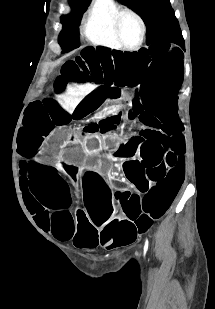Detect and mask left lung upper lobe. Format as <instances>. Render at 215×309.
Segmentation results:
<instances>
[{
	"mask_svg": "<svg viewBox=\"0 0 215 309\" xmlns=\"http://www.w3.org/2000/svg\"><path fill=\"white\" fill-rule=\"evenodd\" d=\"M142 17L146 28V44L170 42L184 45L178 21L169 0H122Z\"/></svg>",
	"mask_w": 215,
	"mask_h": 309,
	"instance_id": "5c2ea615",
	"label": "left lung upper lobe"
}]
</instances>
